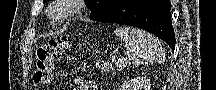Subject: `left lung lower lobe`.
Listing matches in <instances>:
<instances>
[{"mask_svg": "<svg viewBox=\"0 0 216 90\" xmlns=\"http://www.w3.org/2000/svg\"><path fill=\"white\" fill-rule=\"evenodd\" d=\"M170 8L169 0H123L93 20L142 28L161 38L174 51L175 34Z\"/></svg>", "mask_w": 216, "mask_h": 90, "instance_id": "1", "label": "left lung lower lobe"}]
</instances>
